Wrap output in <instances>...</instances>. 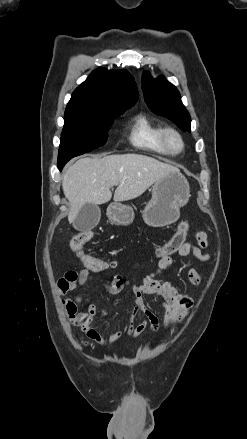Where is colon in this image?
Returning a JSON list of instances; mask_svg holds the SVG:
<instances>
[{
	"label": "colon",
	"instance_id": "obj_1",
	"mask_svg": "<svg viewBox=\"0 0 247 439\" xmlns=\"http://www.w3.org/2000/svg\"><path fill=\"white\" fill-rule=\"evenodd\" d=\"M188 230V222H180L171 239L157 250V256L163 258L175 254L184 244ZM92 237L93 234L90 231L78 232L73 236L70 246L86 269L92 272H102L111 268L113 264L110 261L88 254L83 250V247Z\"/></svg>",
	"mask_w": 247,
	"mask_h": 439
}]
</instances>
